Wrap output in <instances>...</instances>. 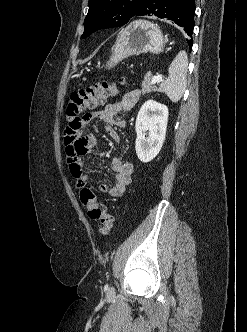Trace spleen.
<instances>
[{
  "mask_svg": "<svg viewBox=\"0 0 247 332\" xmlns=\"http://www.w3.org/2000/svg\"><path fill=\"white\" fill-rule=\"evenodd\" d=\"M188 59L185 51H180L169 66L166 81L159 86V91L165 93L172 102H178L186 89Z\"/></svg>",
  "mask_w": 247,
  "mask_h": 332,
  "instance_id": "obj_1",
  "label": "spleen"
}]
</instances>
